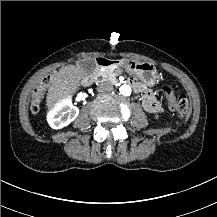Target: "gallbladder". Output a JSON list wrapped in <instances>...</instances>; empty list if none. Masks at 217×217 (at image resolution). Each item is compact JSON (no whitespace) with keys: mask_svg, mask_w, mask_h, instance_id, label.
I'll list each match as a JSON object with an SVG mask.
<instances>
[{"mask_svg":"<svg viewBox=\"0 0 217 217\" xmlns=\"http://www.w3.org/2000/svg\"><path fill=\"white\" fill-rule=\"evenodd\" d=\"M80 68L85 69L88 73H93L97 69V63L94 59L83 60L80 63Z\"/></svg>","mask_w":217,"mask_h":217,"instance_id":"gallbladder-1","label":"gallbladder"}]
</instances>
